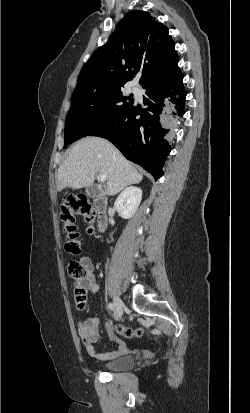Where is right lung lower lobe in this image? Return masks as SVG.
Segmentation results:
<instances>
[{
    "instance_id": "right-lung-lower-lobe-1",
    "label": "right lung lower lobe",
    "mask_w": 250,
    "mask_h": 413,
    "mask_svg": "<svg viewBox=\"0 0 250 413\" xmlns=\"http://www.w3.org/2000/svg\"><path fill=\"white\" fill-rule=\"evenodd\" d=\"M180 69L153 78L142 84L144 105L134 103L90 136L112 142L121 153L156 180L163 175V166L171 151L167 139L173 131L174 116L185 113L186 91Z\"/></svg>"
}]
</instances>
